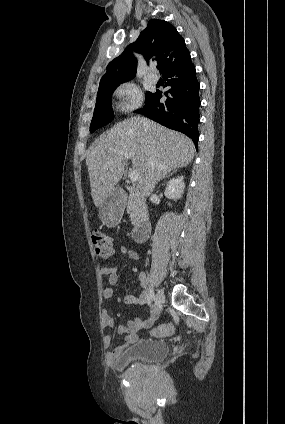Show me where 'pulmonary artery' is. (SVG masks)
<instances>
[{"instance_id":"obj_1","label":"pulmonary artery","mask_w":285,"mask_h":424,"mask_svg":"<svg viewBox=\"0 0 285 424\" xmlns=\"http://www.w3.org/2000/svg\"><path fill=\"white\" fill-rule=\"evenodd\" d=\"M149 79L152 83H157L158 82V76L154 73L150 74Z\"/></svg>"}]
</instances>
